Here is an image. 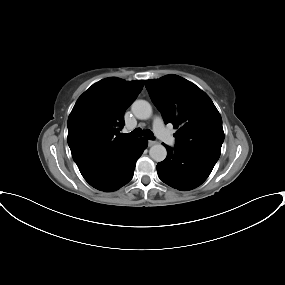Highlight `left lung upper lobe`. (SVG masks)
<instances>
[{"instance_id": "1", "label": "left lung upper lobe", "mask_w": 285, "mask_h": 285, "mask_svg": "<svg viewBox=\"0 0 285 285\" xmlns=\"http://www.w3.org/2000/svg\"><path fill=\"white\" fill-rule=\"evenodd\" d=\"M145 86L165 123L178 128L175 146L218 160L224 132L222 118L209 96L177 75L146 80Z\"/></svg>"}]
</instances>
